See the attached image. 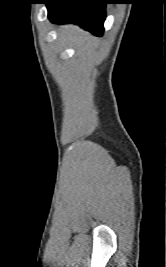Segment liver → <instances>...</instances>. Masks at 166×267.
Here are the masks:
<instances>
[{
	"mask_svg": "<svg viewBox=\"0 0 166 267\" xmlns=\"http://www.w3.org/2000/svg\"><path fill=\"white\" fill-rule=\"evenodd\" d=\"M59 34L62 38L71 40L73 45L80 52L91 47L95 41L94 37L75 25H65L61 27Z\"/></svg>",
	"mask_w": 166,
	"mask_h": 267,
	"instance_id": "liver-1",
	"label": "liver"
}]
</instances>
